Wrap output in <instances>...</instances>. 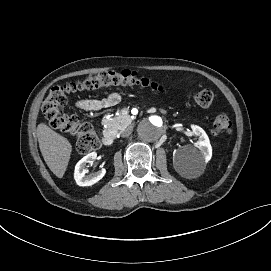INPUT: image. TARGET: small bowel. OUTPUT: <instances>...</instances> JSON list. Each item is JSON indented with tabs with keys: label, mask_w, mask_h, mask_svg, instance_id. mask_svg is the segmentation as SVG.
Masks as SVG:
<instances>
[{
	"label": "small bowel",
	"mask_w": 271,
	"mask_h": 271,
	"mask_svg": "<svg viewBox=\"0 0 271 271\" xmlns=\"http://www.w3.org/2000/svg\"><path fill=\"white\" fill-rule=\"evenodd\" d=\"M120 102V95L110 92L103 98H84L77 101L76 106L84 111H99L116 106Z\"/></svg>",
	"instance_id": "obj_1"
}]
</instances>
